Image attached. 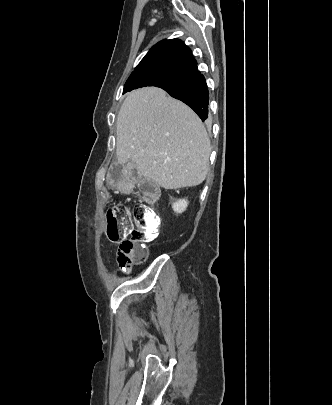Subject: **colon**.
Listing matches in <instances>:
<instances>
[{"label": "colon", "instance_id": "obj_1", "mask_svg": "<svg viewBox=\"0 0 332 405\" xmlns=\"http://www.w3.org/2000/svg\"><path fill=\"white\" fill-rule=\"evenodd\" d=\"M140 189L146 199L155 200L158 197V188L148 180H142ZM106 221L107 238L119 243V267L128 270L145 262V242L153 240L158 233L161 224L159 215L142 202L131 206L118 204L108 211Z\"/></svg>", "mask_w": 332, "mask_h": 405}]
</instances>
